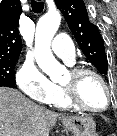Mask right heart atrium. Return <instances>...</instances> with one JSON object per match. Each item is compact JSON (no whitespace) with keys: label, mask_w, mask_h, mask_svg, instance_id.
I'll return each mask as SVG.
<instances>
[{"label":"right heart atrium","mask_w":117,"mask_h":136,"mask_svg":"<svg viewBox=\"0 0 117 136\" xmlns=\"http://www.w3.org/2000/svg\"><path fill=\"white\" fill-rule=\"evenodd\" d=\"M16 82L27 98L43 104L52 102L57 89V86L30 59H26L19 67Z\"/></svg>","instance_id":"1"}]
</instances>
